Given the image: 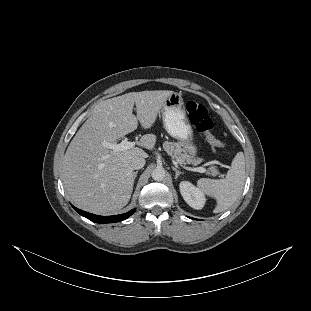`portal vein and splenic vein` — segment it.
<instances>
[{"instance_id": "18ae733b", "label": "portal vein and splenic vein", "mask_w": 311, "mask_h": 311, "mask_svg": "<svg viewBox=\"0 0 311 311\" xmlns=\"http://www.w3.org/2000/svg\"><path fill=\"white\" fill-rule=\"evenodd\" d=\"M135 141H128L127 139L122 140L120 143H109L104 142L103 146L111 149L113 152H119L124 150H130L135 146ZM186 170L193 171V172H199V173H205L206 169L204 167H186Z\"/></svg>"}]
</instances>
